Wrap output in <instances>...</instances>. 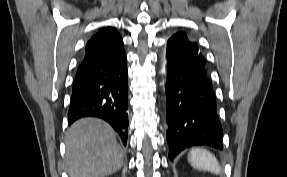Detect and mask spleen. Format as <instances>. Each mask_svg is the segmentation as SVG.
I'll return each instance as SVG.
<instances>
[{
    "instance_id": "3e777b00",
    "label": "spleen",
    "mask_w": 287,
    "mask_h": 177,
    "mask_svg": "<svg viewBox=\"0 0 287 177\" xmlns=\"http://www.w3.org/2000/svg\"><path fill=\"white\" fill-rule=\"evenodd\" d=\"M188 161L193 168L201 171H209L215 174H219L221 171L216 157L206 149H192L188 153Z\"/></svg>"
}]
</instances>
